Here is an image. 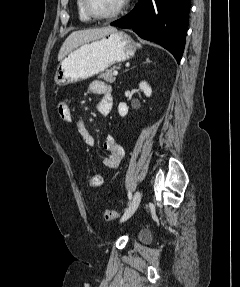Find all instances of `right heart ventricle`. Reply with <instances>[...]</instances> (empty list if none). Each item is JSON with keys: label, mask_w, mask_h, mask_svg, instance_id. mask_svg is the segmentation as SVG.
<instances>
[{"label": "right heart ventricle", "mask_w": 240, "mask_h": 287, "mask_svg": "<svg viewBox=\"0 0 240 287\" xmlns=\"http://www.w3.org/2000/svg\"><path fill=\"white\" fill-rule=\"evenodd\" d=\"M76 8L78 12L79 19L83 22H89L91 18L87 15L85 9L83 0H76Z\"/></svg>", "instance_id": "1"}]
</instances>
